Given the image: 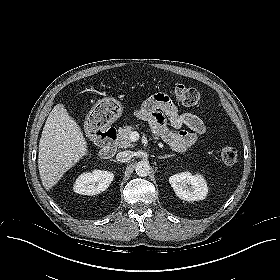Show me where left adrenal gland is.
<instances>
[{
    "instance_id": "left-adrenal-gland-1",
    "label": "left adrenal gland",
    "mask_w": 280,
    "mask_h": 280,
    "mask_svg": "<svg viewBox=\"0 0 280 280\" xmlns=\"http://www.w3.org/2000/svg\"><path fill=\"white\" fill-rule=\"evenodd\" d=\"M171 156H173V155L159 156L158 158H159V159H165V158H169V157H171Z\"/></svg>"
}]
</instances>
